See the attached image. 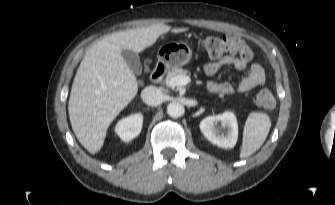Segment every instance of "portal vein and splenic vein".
Wrapping results in <instances>:
<instances>
[{"label":"portal vein and splenic vein","mask_w":335,"mask_h":205,"mask_svg":"<svg viewBox=\"0 0 335 205\" xmlns=\"http://www.w3.org/2000/svg\"><path fill=\"white\" fill-rule=\"evenodd\" d=\"M191 82V79L189 76H175L169 81V86L175 87V86H185L188 83Z\"/></svg>","instance_id":"obj_1"}]
</instances>
